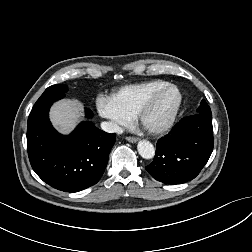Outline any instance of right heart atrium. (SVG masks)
<instances>
[{"mask_svg":"<svg viewBox=\"0 0 252 252\" xmlns=\"http://www.w3.org/2000/svg\"><path fill=\"white\" fill-rule=\"evenodd\" d=\"M96 107L100 116L109 120L112 130H119L131 122V116L120 109L111 97L98 98Z\"/></svg>","mask_w":252,"mask_h":252,"instance_id":"1","label":"right heart atrium"}]
</instances>
